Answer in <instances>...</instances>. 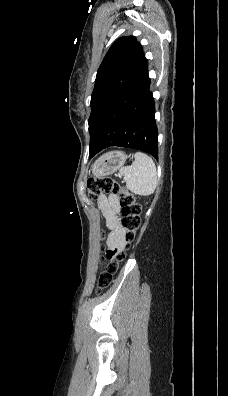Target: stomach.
Wrapping results in <instances>:
<instances>
[{
  "label": "stomach",
  "instance_id": "obj_1",
  "mask_svg": "<svg viewBox=\"0 0 228 396\" xmlns=\"http://www.w3.org/2000/svg\"><path fill=\"white\" fill-rule=\"evenodd\" d=\"M128 156L122 151H112L104 154L92 168V173L95 177H105L117 171L126 162Z\"/></svg>",
  "mask_w": 228,
  "mask_h": 396
}]
</instances>
